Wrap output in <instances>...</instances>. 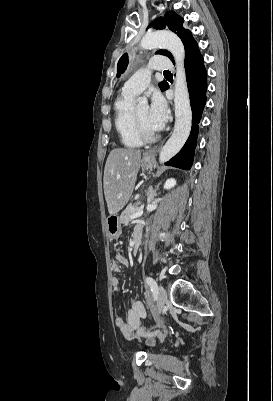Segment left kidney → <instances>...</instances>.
<instances>
[{"label":"left kidney","mask_w":273,"mask_h":401,"mask_svg":"<svg viewBox=\"0 0 273 401\" xmlns=\"http://www.w3.org/2000/svg\"><path fill=\"white\" fill-rule=\"evenodd\" d=\"M176 180L175 178H168L164 184V188H172V186H175Z\"/></svg>","instance_id":"1"}]
</instances>
